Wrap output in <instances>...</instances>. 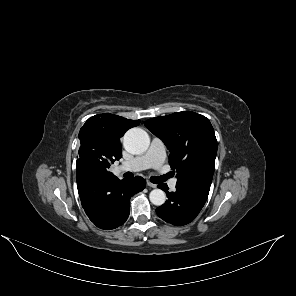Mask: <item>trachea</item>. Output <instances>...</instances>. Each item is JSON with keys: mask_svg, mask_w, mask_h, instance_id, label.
<instances>
[{"mask_svg": "<svg viewBox=\"0 0 296 296\" xmlns=\"http://www.w3.org/2000/svg\"><path fill=\"white\" fill-rule=\"evenodd\" d=\"M169 177H170V175L169 174H166L164 176H154V177H151L150 180H151L152 183L158 184V183L164 182Z\"/></svg>", "mask_w": 296, "mask_h": 296, "instance_id": "obj_1", "label": "trachea"}]
</instances>
